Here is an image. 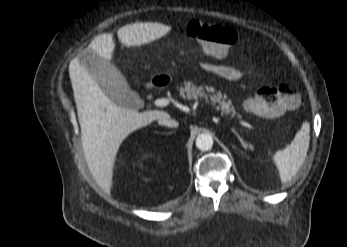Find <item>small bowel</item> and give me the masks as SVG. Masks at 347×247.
Instances as JSON below:
<instances>
[{
    "label": "small bowel",
    "mask_w": 347,
    "mask_h": 247,
    "mask_svg": "<svg viewBox=\"0 0 347 247\" xmlns=\"http://www.w3.org/2000/svg\"><path fill=\"white\" fill-rule=\"evenodd\" d=\"M201 68L208 73L228 81H238L242 77V73L238 69L225 64L203 62L201 63Z\"/></svg>",
    "instance_id": "c3829d8e"
}]
</instances>
